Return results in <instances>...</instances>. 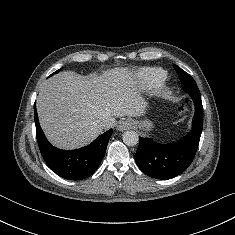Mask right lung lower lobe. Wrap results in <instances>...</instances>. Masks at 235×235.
<instances>
[{"label": "right lung lower lobe", "mask_w": 235, "mask_h": 235, "mask_svg": "<svg viewBox=\"0 0 235 235\" xmlns=\"http://www.w3.org/2000/svg\"><path fill=\"white\" fill-rule=\"evenodd\" d=\"M36 137L42 157L50 169L65 179L82 180L91 176L105 155L112 129L97 137L86 147L65 151L52 146L39 125L36 106H34Z\"/></svg>", "instance_id": "obj_1"}]
</instances>
